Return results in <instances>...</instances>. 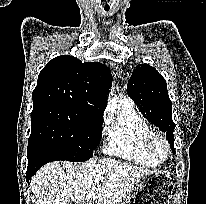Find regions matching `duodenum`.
I'll use <instances>...</instances> for the list:
<instances>
[{"label": "duodenum", "instance_id": "duodenum-1", "mask_svg": "<svg viewBox=\"0 0 206 204\" xmlns=\"http://www.w3.org/2000/svg\"><path fill=\"white\" fill-rule=\"evenodd\" d=\"M93 204H99L98 201H95Z\"/></svg>", "mask_w": 206, "mask_h": 204}]
</instances>
